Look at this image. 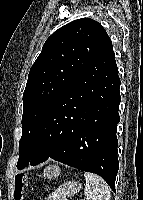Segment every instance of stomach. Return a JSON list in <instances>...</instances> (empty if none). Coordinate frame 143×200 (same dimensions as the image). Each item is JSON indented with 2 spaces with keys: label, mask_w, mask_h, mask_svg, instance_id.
Here are the masks:
<instances>
[{
  "label": "stomach",
  "mask_w": 143,
  "mask_h": 200,
  "mask_svg": "<svg viewBox=\"0 0 143 200\" xmlns=\"http://www.w3.org/2000/svg\"><path fill=\"white\" fill-rule=\"evenodd\" d=\"M53 172L55 168H52ZM78 191V185L76 181H67L61 184L54 192H52L47 200H67L68 197H72Z\"/></svg>",
  "instance_id": "0dacf381"
}]
</instances>
